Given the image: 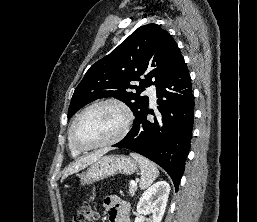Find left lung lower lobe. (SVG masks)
Returning <instances> with one entry per match:
<instances>
[{
  "mask_svg": "<svg viewBox=\"0 0 257 222\" xmlns=\"http://www.w3.org/2000/svg\"><path fill=\"white\" fill-rule=\"evenodd\" d=\"M156 90L159 114L147 120V106L135 118L126 137L113 147L129 149L157 163L170 175L178 190L190 150L194 118V96L184 58Z\"/></svg>",
  "mask_w": 257,
  "mask_h": 222,
  "instance_id": "obj_1",
  "label": "left lung lower lobe"
}]
</instances>
